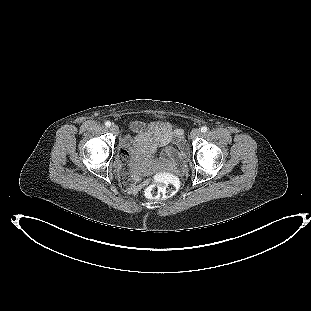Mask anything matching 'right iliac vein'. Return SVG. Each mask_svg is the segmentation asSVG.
<instances>
[{"mask_svg":"<svg viewBox=\"0 0 311 311\" xmlns=\"http://www.w3.org/2000/svg\"><path fill=\"white\" fill-rule=\"evenodd\" d=\"M110 130L114 134H118L119 133V127L116 124H112L111 127H110Z\"/></svg>","mask_w":311,"mask_h":311,"instance_id":"right-iliac-vein-1","label":"right iliac vein"}]
</instances>
